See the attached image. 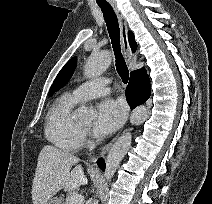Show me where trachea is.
<instances>
[{"mask_svg":"<svg viewBox=\"0 0 212 204\" xmlns=\"http://www.w3.org/2000/svg\"><path fill=\"white\" fill-rule=\"evenodd\" d=\"M99 7L101 8V11L103 13L104 20L106 22V26L111 39L113 51L115 53L116 70L120 75L123 83L126 84L129 80V70L121 53L120 31L117 16L110 5H99Z\"/></svg>","mask_w":212,"mask_h":204,"instance_id":"3493384b","label":"trachea"}]
</instances>
